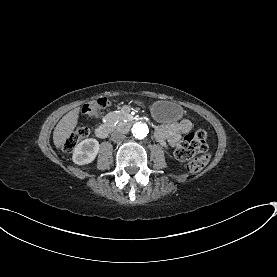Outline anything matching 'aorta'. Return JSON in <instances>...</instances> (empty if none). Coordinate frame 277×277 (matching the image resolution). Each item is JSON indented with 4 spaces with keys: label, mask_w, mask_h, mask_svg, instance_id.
<instances>
[{
    "label": "aorta",
    "mask_w": 277,
    "mask_h": 277,
    "mask_svg": "<svg viewBox=\"0 0 277 277\" xmlns=\"http://www.w3.org/2000/svg\"><path fill=\"white\" fill-rule=\"evenodd\" d=\"M148 132H149L148 126L143 122H137L132 127V134L137 139L145 138Z\"/></svg>",
    "instance_id": "1"
}]
</instances>
